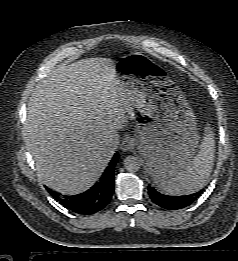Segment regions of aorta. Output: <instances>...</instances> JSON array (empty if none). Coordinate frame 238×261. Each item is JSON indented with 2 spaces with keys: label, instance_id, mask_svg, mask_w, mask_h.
I'll use <instances>...</instances> for the list:
<instances>
[{
  "label": "aorta",
  "instance_id": "762f6f07",
  "mask_svg": "<svg viewBox=\"0 0 238 261\" xmlns=\"http://www.w3.org/2000/svg\"><path fill=\"white\" fill-rule=\"evenodd\" d=\"M141 165V160L136 156H127L124 159V167L129 172H137Z\"/></svg>",
  "mask_w": 238,
  "mask_h": 261
}]
</instances>
